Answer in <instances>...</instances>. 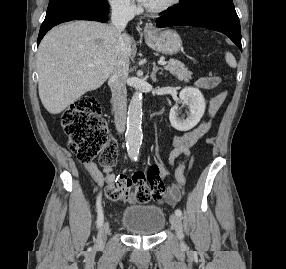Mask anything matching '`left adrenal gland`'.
<instances>
[{"mask_svg":"<svg viewBox=\"0 0 286 269\" xmlns=\"http://www.w3.org/2000/svg\"><path fill=\"white\" fill-rule=\"evenodd\" d=\"M157 73H159L160 75H162V74H163V73H162V68L157 67V66H156V63L153 62V69H152V72H151V75H150V77H151V79H152L153 82H157V78H156V74H157Z\"/></svg>","mask_w":286,"mask_h":269,"instance_id":"a2214340","label":"left adrenal gland"}]
</instances>
